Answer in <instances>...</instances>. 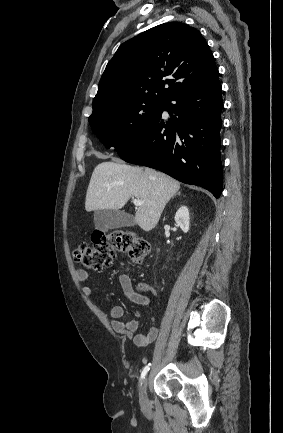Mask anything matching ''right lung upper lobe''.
Returning a JSON list of instances; mask_svg holds the SVG:
<instances>
[{"label": "right lung upper lobe", "mask_w": 283, "mask_h": 433, "mask_svg": "<svg viewBox=\"0 0 283 433\" xmlns=\"http://www.w3.org/2000/svg\"><path fill=\"white\" fill-rule=\"evenodd\" d=\"M217 76L200 32L181 22L164 23L120 45L100 79L92 115L136 101L165 102Z\"/></svg>", "instance_id": "right-lung-upper-lobe-1"}]
</instances>
